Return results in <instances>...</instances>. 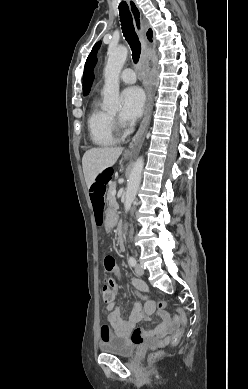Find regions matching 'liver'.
<instances>
[{
    "mask_svg": "<svg viewBox=\"0 0 248 389\" xmlns=\"http://www.w3.org/2000/svg\"><path fill=\"white\" fill-rule=\"evenodd\" d=\"M120 147L92 148L86 151L82 158V166L87 187H90L96 177L106 168L113 166L122 154Z\"/></svg>",
    "mask_w": 248,
    "mask_h": 389,
    "instance_id": "obj_1",
    "label": "liver"
}]
</instances>
